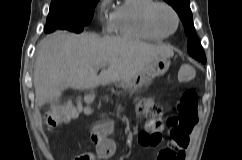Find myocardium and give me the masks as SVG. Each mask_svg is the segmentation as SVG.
Here are the masks:
<instances>
[{
	"mask_svg": "<svg viewBox=\"0 0 242 160\" xmlns=\"http://www.w3.org/2000/svg\"><path fill=\"white\" fill-rule=\"evenodd\" d=\"M159 8H165L173 14L175 18V28L172 31H165L157 24L156 12ZM144 19L147 27L151 31L164 37L175 34L180 25V17L176 9L172 5L163 1H158L151 4L145 11Z\"/></svg>",
	"mask_w": 242,
	"mask_h": 160,
	"instance_id": "myocardium-1",
	"label": "myocardium"
}]
</instances>
